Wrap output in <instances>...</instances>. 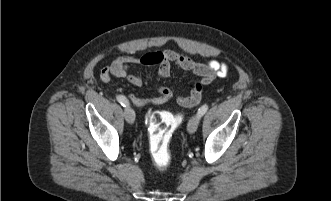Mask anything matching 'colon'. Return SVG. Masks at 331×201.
<instances>
[{
  "instance_id": "obj_1",
  "label": "colon",
  "mask_w": 331,
  "mask_h": 201,
  "mask_svg": "<svg viewBox=\"0 0 331 201\" xmlns=\"http://www.w3.org/2000/svg\"><path fill=\"white\" fill-rule=\"evenodd\" d=\"M205 82L200 80L192 89L189 96L182 97L180 103L184 106H192L199 103ZM182 120L180 115L157 110L147 118L150 138V152L155 166L158 169H165L171 161L169 143L173 131Z\"/></svg>"
}]
</instances>
